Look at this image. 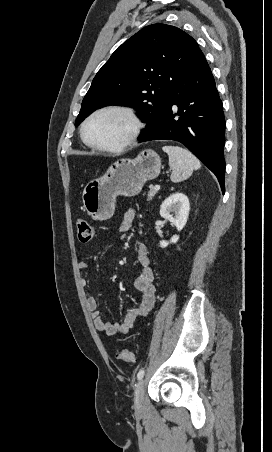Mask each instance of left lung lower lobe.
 <instances>
[{
  "label": "left lung lower lobe",
  "instance_id": "1",
  "mask_svg": "<svg viewBox=\"0 0 272 452\" xmlns=\"http://www.w3.org/2000/svg\"><path fill=\"white\" fill-rule=\"evenodd\" d=\"M166 139L183 143L217 177L225 192V118L211 69L197 46L171 91L170 100L140 142Z\"/></svg>",
  "mask_w": 272,
  "mask_h": 452
}]
</instances>
